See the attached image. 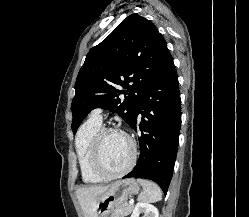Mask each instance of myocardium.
I'll return each instance as SVG.
<instances>
[{"label":"myocardium","instance_id":"obj_1","mask_svg":"<svg viewBox=\"0 0 249 217\" xmlns=\"http://www.w3.org/2000/svg\"><path fill=\"white\" fill-rule=\"evenodd\" d=\"M108 133H119L123 135L130 144L131 157L125 168L118 172H108L101 163V144L104 136ZM137 159V147L132 137L125 131L116 127H101L93 138L90 150V166L93 172L104 180L121 178L126 175L135 165Z\"/></svg>","mask_w":249,"mask_h":217}]
</instances>
